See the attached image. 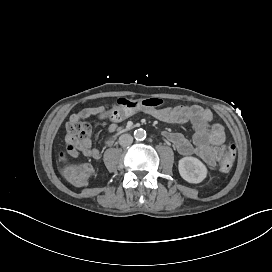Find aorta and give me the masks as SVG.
Wrapping results in <instances>:
<instances>
[{"mask_svg":"<svg viewBox=\"0 0 272 272\" xmlns=\"http://www.w3.org/2000/svg\"><path fill=\"white\" fill-rule=\"evenodd\" d=\"M134 138L138 141H142L146 138V131L144 129H137L134 131Z\"/></svg>","mask_w":272,"mask_h":272,"instance_id":"obj_1","label":"aorta"}]
</instances>
